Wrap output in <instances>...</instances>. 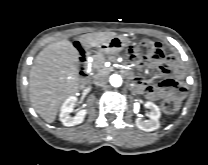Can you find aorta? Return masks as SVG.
<instances>
[{
	"mask_svg": "<svg viewBox=\"0 0 208 165\" xmlns=\"http://www.w3.org/2000/svg\"><path fill=\"white\" fill-rule=\"evenodd\" d=\"M110 84L114 87H120L122 85V78L118 74H113L110 76Z\"/></svg>",
	"mask_w": 208,
	"mask_h": 165,
	"instance_id": "762f6f07",
	"label": "aorta"
}]
</instances>
